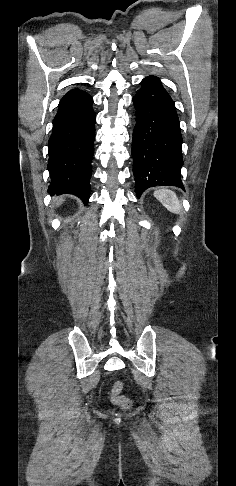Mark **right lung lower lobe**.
Listing matches in <instances>:
<instances>
[{
	"label": "right lung lower lobe",
	"mask_w": 236,
	"mask_h": 486,
	"mask_svg": "<svg viewBox=\"0 0 236 486\" xmlns=\"http://www.w3.org/2000/svg\"><path fill=\"white\" fill-rule=\"evenodd\" d=\"M93 99L85 93L60 101L49 139L51 195L73 194L88 203L91 160L94 154L95 113Z\"/></svg>",
	"instance_id": "right-lung-lower-lobe-1"
}]
</instances>
